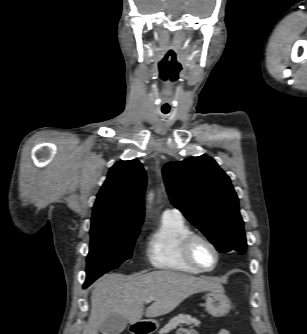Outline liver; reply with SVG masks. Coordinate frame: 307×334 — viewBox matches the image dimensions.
I'll list each match as a JSON object with an SVG mask.
<instances>
[{
  "mask_svg": "<svg viewBox=\"0 0 307 334\" xmlns=\"http://www.w3.org/2000/svg\"><path fill=\"white\" fill-rule=\"evenodd\" d=\"M222 289L220 283L210 278L175 271H153L131 277L106 274L94 283L91 314L82 334H98L100 324L113 313L122 315L131 324L138 322L149 298L154 303L145 310V316L152 318L168 314L194 293Z\"/></svg>",
  "mask_w": 307,
  "mask_h": 334,
  "instance_id": "1",
  "label": "liver"
}]
</instances>
